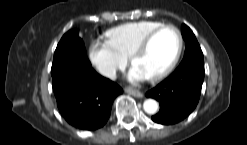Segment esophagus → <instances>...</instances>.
<instances>
[{"mask_svg":"<svg viewBox=\"0 0 247 145\" xmlns=\"http://www.w3.org/2000/svg\"><path fill=\"white\" fill-rule=\"evenodd\" d=\"M125 92L137 98H142L144 96L142 92L133 88H125Z\"/></svg>","mask_w":247,"mask_h":145,"instance_id":"obj_1","label":"esophagus"}]
</instances>
